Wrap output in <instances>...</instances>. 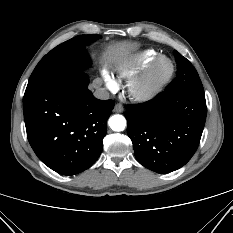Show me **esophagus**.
Returning <instances> with one entry per match:
<instances>
[{"label": "esophagus", "instance_id": "1", "mask_svg": "<svg viewBox=\"0 0 233 233\" xmlns=\"http://www.w3.org/2000/svg\"><path fill=\"white\" fill-rule=\"evenodd\" d=\"M124 111V107L122 106V104L117 103L114 107V112L116 113H121Z\"/></svg>", "mask_w": 233, "mask_h": 233}]
</instances>
